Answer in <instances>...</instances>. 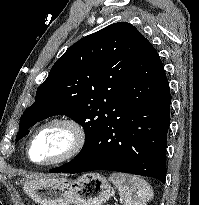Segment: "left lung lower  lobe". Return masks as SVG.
Masks as SVG:
<instances>
[{
	"label": "left lung lower lobe",
	"mask_w": 199,
	"mask_h": 205,
	"mask_svg": "<svg viewBox=\"0 0 199 205\" xmlns=\"http://www.w3.org/2000/svg\"><path fill=\"white\" fill-rule=\"evenodd\" d=\"M170 103L163 64L145 38L91 147L77 162L58 172L112 170L150 176L164 183Z\"/></svg>",
	"instance_id": "0a47b994"
}]
</instances>
